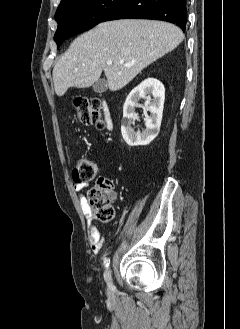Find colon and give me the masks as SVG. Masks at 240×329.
Listing matches in <instances>:
<instances>
[{
    "label": "colon",
    "instance_id": "1",
    "mask_svg": "<svg viewBox=\"0 0 240 329\" xmlns=\"http://www.w3.org/2000/svg\"><path fill=\"white\" fill-rule=\"evenodd\" d=\"M77 109V121L83 126L96 125L102 127V114L98 98H78L75 101ZM98 168L94 159L81 157L77 160L72 170V178L75 183L85 184L96 179L94 187L87 192V204L96 220L107 223L114 219L115 210L114 182L107 177H98Z\"/></svg>",
    "mask_w": 240,
    "mask_h": 329
}]
</instances>
